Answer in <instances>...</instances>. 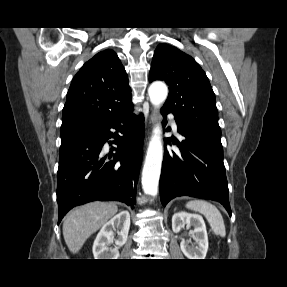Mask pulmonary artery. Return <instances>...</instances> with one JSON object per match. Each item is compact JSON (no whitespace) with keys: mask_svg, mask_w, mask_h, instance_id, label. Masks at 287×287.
<instances>
[{"mask_svg":"<svg viewBox=\"0 0 287 287\" xmlns=\"http://www.w3.org/2000/svg\"><path fill=\"white\" fill-rule=\"evenodd\" d=\"M172 127H173V129L175 130V131H177V124H176V122L174 121V120H172Z\"/></svg>","mask_w":287,"mask_h":287,"instance_id":"e3ab8cb5","label":"pulmonary artery"}]
</instances>
